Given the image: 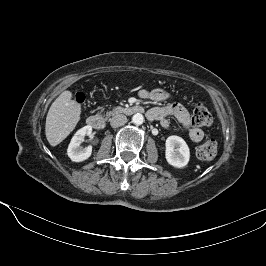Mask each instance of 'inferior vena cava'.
<instances>
[{
    "label": "inferior vena cava",
    "instance_id": "obj_1",
    "mask_svg": "<svg viewBox=\"0 0 266 266\" xmlns=\"http://www.w3.org/2000/svg\"><path fill=\"white\" fill-rule=\"evenodd\" d=\"M127 123V117L123 114H117L110 119V125L113 128L120 127Z\"/></svg>",
    "mask_w": 266,
    "mask_h": 266
}]
</instances>
